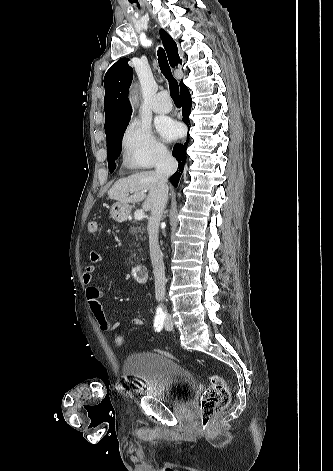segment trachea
Returning <instances> with one entry per match:
<instances>
[{"mask_svg":"<svg viewBox=\"0 0 333 471\" xmlns=\"http://www.w3.org/2000/svg\"><path fill=\"white\" fill-rule=\"evenodd\" d=\"M158 60H159V67L161 69V72L169 81L171 98L173 99L174 102H180L178 82L172 75L171 69L167 61L166 54L164 50L162 49L158 51Z\"/></svg>","mask_w":333,"mask_h":471,"instance_id":"trachea-1","label":"trachea"}]
</instances>
